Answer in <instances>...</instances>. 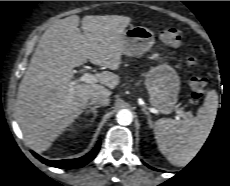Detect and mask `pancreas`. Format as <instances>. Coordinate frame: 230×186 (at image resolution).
Masks as SVG:
<instances>
[{
  "label": "pancreas",
  "instance_id": "pancreas-1",
  "mask_svg": "<svg viewBox=\"0 0 230 186\" xmlns=\"http://www.w3.org/2000/svg\"><path fill=\"white\" fill-rule=\"evenodd\" d=\"M186 116H191V113H187V114H185Z\"/></svg>",
  "mask_w": 230,
  "mask_h": 186
}]
</instances>
